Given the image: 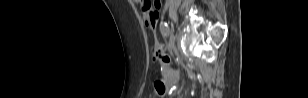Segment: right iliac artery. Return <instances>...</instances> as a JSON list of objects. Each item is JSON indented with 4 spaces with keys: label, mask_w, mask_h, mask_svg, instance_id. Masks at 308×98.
Segmentation results:
<instances>
[{
    "label": "right iliac artery",
    "mask_w": 308,
    "mask_h": 98,
    "mask_svg": "<svg viewBox=\"0 0 308 98\" xmlns=\"http://www.w3.org/2000/svg\"><path fill=\"white\" fill-rule=\"evenodd\" d=\"M160 31L162 33V35L164 37H167L169 35V28H168V25L166 23L164 24H161L160 26Z\"/></svg>",
    "instance_id": "obj_1"
}]
</instances>
